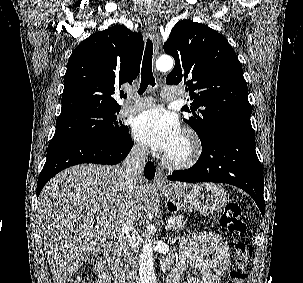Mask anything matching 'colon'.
Masks as SVG:
<instances>
[{
	"instance_id": "colon-1",
	"label": "colon",
	"mask_w": 303,
	"mask_h": 283,
	"mask_svg": "<svg viewBox=\"0 0 303 283\" xmlns=\"http://www.w3.org/2000/svg\"><path fill=\"white\" fill-rule=\"evenodd\" d=\"M221 225L226 230L244 237L247 232V225L241 216L240 207L236 202H228L220 219ZM252 256V247L243 239H238L234 246V261L229 272L227 283H244L247 269ZM92 268L86 266L75 278L68 283H91Z\"/></svg>"
}]
</instances>
